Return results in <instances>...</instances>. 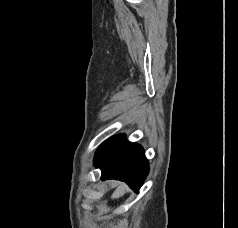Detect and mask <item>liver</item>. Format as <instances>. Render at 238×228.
Instances as JSON below:
<instances>
[{
	"label": "liver",
	"instance_id": "1",
	"mask_svg": "<svg viewBox=\"0 0 238 228\" xmlns=\"http://www.w3.org/2000/svg\"><path fill=\"white\" fill-rule=\"evenodd\" d=\"M128 190V187L124 183H120L116 190L112 194V199H118L122 197L126 191Z\"/></svg>",
	"mask_w": 238,
	"mask_h": 228
}]
</instances>
